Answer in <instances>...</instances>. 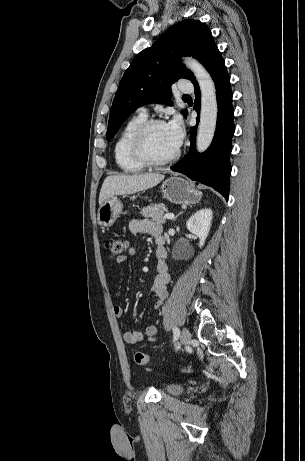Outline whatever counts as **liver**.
<instances>
[{
    "instance_id": "liver-1",
    "label": "liver",
    "mask_w": 305,
    "mask_h": 461,
    "mask_svg": "<svg viewBox=\"0 0 305 461\" xmlns=\"http://www.w3.org/2000/svg\"><path fill=\"white\" fill-rule=\"evenodd\" d=\"M163 179L164 175L158 173L108 176L100 190L99 205L113 196L134 194L150 189Z\"/></svg>"
}]
</instances>
